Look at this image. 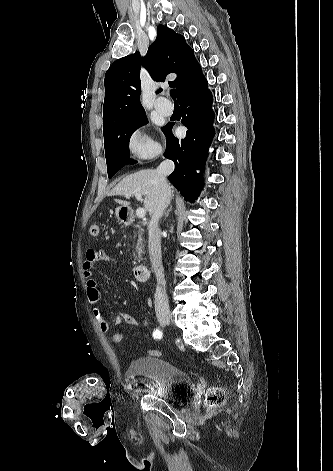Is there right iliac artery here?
I'll use <instances>...</instances> for the list:
<instances>
[{
    "mask_svg": "<svg viewBox=\"0 0 333 471\" xmlns=\"http://www.w3.org/2000/svg\"><path fill=\"white\" fill-rule=\"evenodd\" d=\"M153 337L155 339H160L162 337V331L160 329H156L153 332Z\"/></svg>",
    "mask_w": 333,
    "mask_h": 471,
    "instance_id": "82829eb1",
    "label": "right iliac artery"
}]
</instances>
